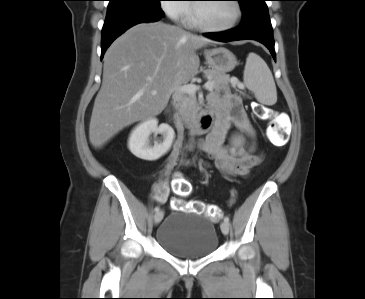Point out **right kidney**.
Here are the masks:
<instances>
[{
  "instance_id": "ca27d5eb",
  "label": "right kidney",
  "mask_w": 365,
  "mask_h": 299,
  "mask_svg": "<svg viewBox=\"0 0 365 299\" xmlns=\"http://www.w3.org/2000/svg\"><path fill=\"white\" fill-rule=\"evenodd\" d=\"M161 134L163 140L152 144L149 136ZM175 138L174 130L168 124H160L156 118H149L137 125L128 140L130 152L137 158L155 161L165 155L171 148Z\"/></svg>"
}]
</instances>
